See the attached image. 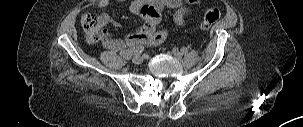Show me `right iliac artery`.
I'll return each instance as SVG.
<instances>
[{
	"label": "right iliac artery",
	"instance_id": "obj_1",
	"mask_svg": "<svg viewBox=\"0 0 303 127\" xmlns=\"http://www.w3.org/2000/svg\"><path fill=\"white\" fill-rule=\"evenodd\" d=\"M144 51V47L143 46H137L131 49V53L134 55H139Z\"/></svg>",
	"mask_w": 303,
	"mask_h": 127
}]
</instances>
